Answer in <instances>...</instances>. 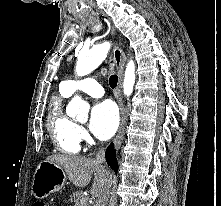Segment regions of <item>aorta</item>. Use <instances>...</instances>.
Segmentation results:
<instances>
[{
	"label": "aorta",
	"instance_id": "1",
	"mask_svg": "<svg viewBox=\"0 0 221 206\" xmlns=\"http://www.w3.org/2000/svg\"><path fill=\"white\" fill-rule=\"evenodd\" d=\"M110 49V43L105 41L103 43L94 45L90 50L81 51L78 55L76 64V73L78 76H85L95 70L102 61L106 58L107 53ZM135 83V65L131 60L129 61L123 82L124 94L129 96L133 91ZM89 110V104L82 100L80 96L72 98L71 102L67 107V113L73 115L77 120L87 118Z\"/></svg>",
	"mask_w": 221,
	"mask_h": 206
}]
</instances>
